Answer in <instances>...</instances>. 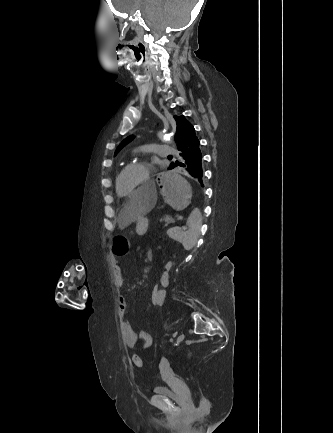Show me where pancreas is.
<instances>
[{
  "instance_id": "cf45deb5",
  "label": "pancreas",
  "mask_w": 333,
  "mask_h": 433,
  "mask_svg": "<svg viewBox=\"0 0 333 433\" xmlns=\"http://www.w3.org/2000/svg\"><path fill=\"white\" fill-rule=\"evenodd\" d=\"M160 222H164L165 226H167L170 223H174V219L171 216L166 215L160 219Z\"/></svg>"
}]
</instances>
